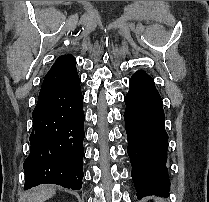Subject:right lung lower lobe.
<instances>
[{
  "mask_svg": "<svg viewBox=\"0 0 209 202\" xmlns=\"http://www.w3.org/2000/svg\"><path fill=\"white\" fill-rule=\"evenodd\" d=\"M80 78L71 62L58 57L45 75L32 113L30 154L24 189L40 184L82 187L84 112Z\"/></svg>",
  "mask_w": 209,
  "mask_h": 202,
  "instance_id": "right-lung-lower-lobe-1",
  "label": "right lung lower lobe"
}]
</instances>
